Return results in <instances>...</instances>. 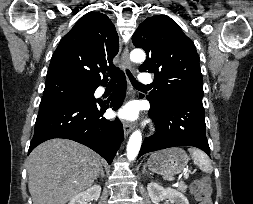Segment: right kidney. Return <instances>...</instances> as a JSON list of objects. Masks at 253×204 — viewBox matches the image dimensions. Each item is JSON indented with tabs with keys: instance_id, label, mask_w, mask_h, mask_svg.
Masks as SVG:
<instances>
[{
	"instance_id": "1",
	"label": "right kidney",
	"mask_w": 253,
	"mask_h": 204,
	"mask_svg": "<svg viewBox=\"0 0 253 204\" xmlns=\"http://www.w3.org/2000/svg\"><path fill=\"white\" fill-rule=\"evenodd\" d=\"M101 194V187L100 185H94L75 195L68 204H87L88 200H98Z\"/></svg>"
}]
</instances>
